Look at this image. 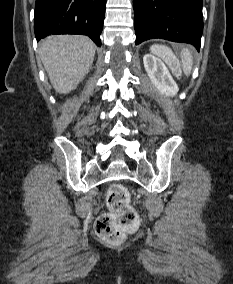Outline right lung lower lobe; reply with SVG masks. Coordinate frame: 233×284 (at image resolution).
I'll return each mask as SVG.
<instances>
[{
    "mask_svg": "<svg viewBox=\"0 0 233 284\" xmlns=\"http://www.w3.org/2000/svg\"><path fill=\"white\" fill-rule=\"evenodd\" d=\"M106 0H36L37 40L50 34H82L101 46Z\"/></svg>",
    "mask_w": 233,
    "mask_h": 284,
    "instance_id": "right-lung-lower-lobe-1",
    "label": "right lung lower lobe"
}]
</instances>
